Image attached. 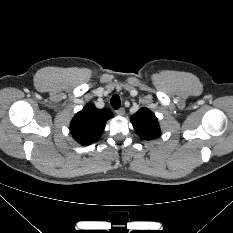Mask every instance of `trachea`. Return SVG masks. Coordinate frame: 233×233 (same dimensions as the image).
<instances>
[{
	"label": "trachea",
	"mask_w": 233,
	"mask_h": 233,
	"mask_svg": "<svg viewBox=\"0 0 233 233\" xmlns=\"http://www.w3.org/2000/svg\"><path fill=\"white\" fill-rule=\"evenodd\" d=\"M111 106L115 109L118 110L121 106V100L118 95H113L111 98Z\"/></svg>",
	"instance_id": "1"
}]
</instances>
